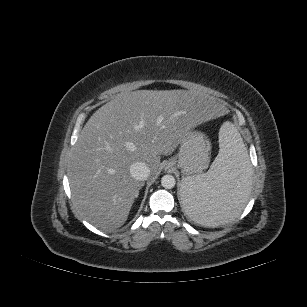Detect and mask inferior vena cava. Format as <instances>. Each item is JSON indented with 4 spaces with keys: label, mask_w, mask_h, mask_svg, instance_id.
I'll use <instances>...</instances> for the list:
<instances>
[{
    "label": "inferior vena cava",
    "mask_w": 307,
    "mask_h": 307,
    "mask_svg": "<svg viewBox=\"0 0 307 307\" xmlns=\"http://www.w3.org/2000/svg\"><path fill=\"white\" fill-rule=\"evenodd\" d=\"M130 174L136 180H146L150 175V169L146 163L134 162L130 166Z\"/></svg>",
    "instance_id": "1"
}]
</instances>
